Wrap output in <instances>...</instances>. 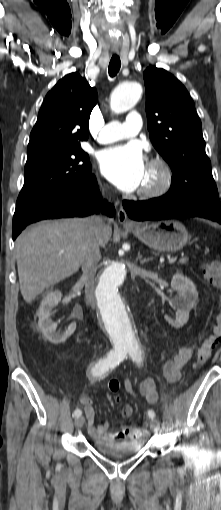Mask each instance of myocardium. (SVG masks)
<instances>
[{
	"label": "myocardium",
	"instance_id": "obj_1",
	"mask_svg": "<svg viewBox=\"0 0 221 510\" xmlns=\"http://www.w3.org/2000/svg\"><path fill=\"white\" fill-rule=\"evenodd\" d=\"M147 166L155 168L159 172L158 183L151 188L139 189L137 195L143 199H155L162 197L170 190L173 182V174L169 164L162 157H153Z\"/></svg>",
	"mask_w": 221,
	"mask_h": 510
}]
</instances>
